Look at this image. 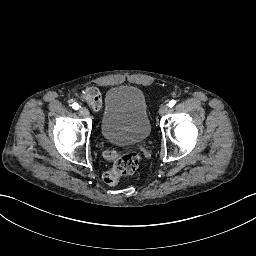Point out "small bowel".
I'll return each mask as SVG.
<instances>
[{"label":"small bowel","instance_id":"1","mask_svg":"<svg viewBox=\"0 0 256 256\" xmlns=\"http://www.w3.org/2000/svg\"><path fill=\"white\" fill-rule=\"evenodd\" d=\"M80 98L85 100L89 104V106L95 111L100 110L102 107L101 93L97 88L93 86L85 88L81 92Z\"/></svg>","mask_w":256,"mask_h":256}]
</instances>
